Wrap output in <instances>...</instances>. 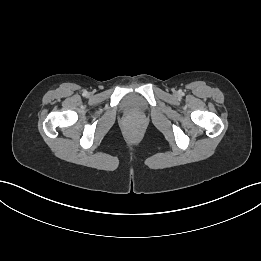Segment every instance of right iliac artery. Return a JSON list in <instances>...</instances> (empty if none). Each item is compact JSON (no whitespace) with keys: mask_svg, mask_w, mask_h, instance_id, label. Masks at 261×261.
Listing matches in <instances>:
<instances>
[{"mask_svg":"<svg viewBox=\"0 0 261 261\" xmlns=\"http://www.w3.org/2000/svg\"><path fill=\"white\" fill-rule=\"evenodd\" d=\"M87 94H88L87 91H84V92H83V95H84V96H86Z\"/></svg>","mask_w":261,"mask_h":261,"instance_id":"82829eb1","label":"right iliac artery"}]
</instances>
